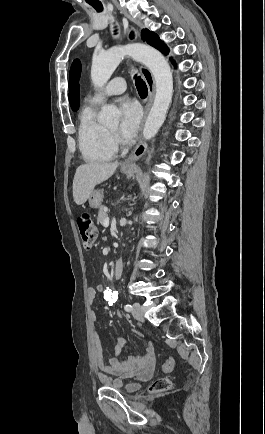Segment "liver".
Instances as JSON below:
<instances>
[{
	"label": "liver",
	"mask_w": 265,
	"mask_h": 434,
	"mask_svg": "<svg viewBox=\"0 0 265 434\" xmlns=\"http://www.w3.org/2000/svg\"><path fill=\"white\" fill-rule=\"evenodd\" d=\"M119 162L113 164H97V162H88L82 164L76 170L73 180V198L77 206L85 204L91 192H93L97 184L105 182L110 176H113Z\"/></svg>",
	"instance_id": "obj_1"
}]
</instances>
